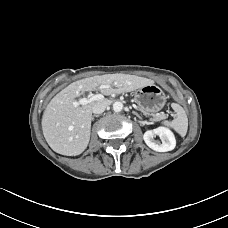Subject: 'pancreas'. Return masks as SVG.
Listing matches in <instances>:
<instances>
[{
	"label": "pancreas",
	"instance_id": "1",
	"mask_svg": "<svg viewBox=\"0 0 228 228\" xmlns=\"http://www.w3.org/2000/svg\"><path fill=\"white\" fill-rule=\"evenodd\" d=\"M140 110H141V109H140ZM141 111H142V113H143L144 115H151V116H152V119H153L154 121H158V120H162V119L166 118V115H165L164 113L150 114V113H147V112H145V111H143V110H141Z\"/></svg>",
	"mask_w": 228,
	"mask_h": 228
}]
</instances>
